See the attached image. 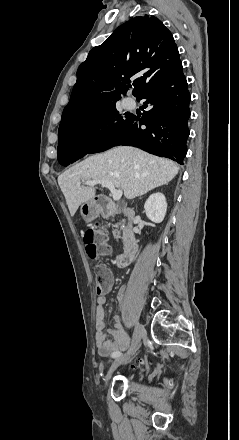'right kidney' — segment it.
<instances>
[{
  "label": "right kidney",
  "mask_w": 239,
  "mask_h": 440,
  "mask_svg": "<svg viewBox=\"0 0 239 440\" xmlns=\"http://www.w3.org/2000/svg\"><path fill=\"white\" fill-rule=\"evenodd\" d=\"M144 210L147 218H149L151 222H155V224L163 222L167 210V202L164 194H160V192L151 194L144 204Z\"/></svg>",
  "instance_id": "ca27d5eb"
}]
</instances>
